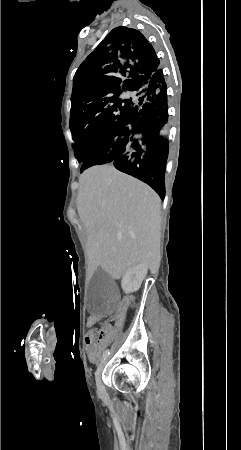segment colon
I'll use <instances>...</instances> for the list:
<instances>
[{"label": "colon", "mask_w": 241, "mask_h": 450, "mask_svg": "<svg viewBox=\"0 0 241 450\" xmlns=\"http://www.w3.org/2000/svg\"><path fill=\"white\" fill-rule=\"evenodd\" d=\"M97 319L94 317L92 320H91V318L90 317H87L86 318V321L88 322V325L90 326V327H93L94 325H95V321H96Z\"/></svg>", "instance_id": "obj_1"}]
</instances>
